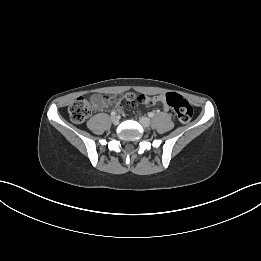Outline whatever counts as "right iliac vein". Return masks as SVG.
Segmentation results:
<instances>
[{
	"instance_id": "right-iliac-vein-1",
	"label": "right iliac vein",
	"mask_w": 261,
	"mask_h": 261,
	"mask_svg": "<svg viewBox=\"0 0 261 261\" xmlns=\"http://www.w3.org/2000/svg\"><path fill=\"white\" fill-rule=\"evenodd\" d=\"M111 121L114 125H118L119 124V117L117 116H112L111 117Z\"/></svg>"
}]
</instances>
